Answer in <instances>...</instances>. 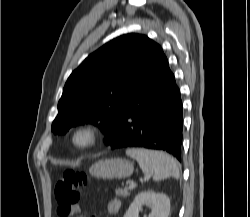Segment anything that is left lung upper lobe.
Returning <instances> with one entry per match:
<instances>
[{"mask_svg":"<svg viewBox=\"0 0 250 217\" xmlns=\"http://www.w3.org/2000/svg\"><path fill=\"white\" fill-rule=\"evenodd\" d=\"M160 51L161 47L147 36L131 33L90 54L64 86L52 131L65 134L73 126L91 123L105 133L107 141L119 114Z\"/></svg>","mask_w":250,"mask_h":217,"instance_id":"5c2ea615","label":"left lung upper lobe"}]
</instances>
